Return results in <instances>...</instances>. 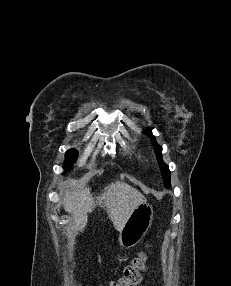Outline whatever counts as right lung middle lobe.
I'll list each match as a JSON object with an SVG mask.
<instances>
[{"label": "right lung middle lobe", "mask_w": 231, "mask_h": 286, "mask_svg": "<svg viewBox=\"0 0 231 286\" xmlns=\"http://www.w3.org/2000/svg\"><path fill=\"white\" fill-rule=\"evenodd\" d=\"M66 159H65V165L64 168L66 169V171L70 170V167L72 165V163L76 160L77 158V151L74 149H70L66 152Z\"/></svg>", "instance_id": "right-lung-middle-lobe-1"}]
</instances>
